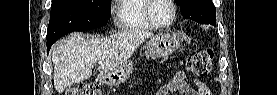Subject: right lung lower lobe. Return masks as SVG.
Instances as JSON below:
<instances>
[{
  "mask_svg": "<svg viewBox=\"0 0 277 95\" xmlns=\"http://www.w3.org/2000/svg\"><path fill=\"white\" fill-rule=\"evenodd\" d=\"M52 44H53L52 42H47V52H49Z\"/></svg>",
  "mask_w": 277,
  "mask_h": 95,
  "instance_id": "98d812e1",
  "label": "right lung lower lobe"
}]
</instances>
